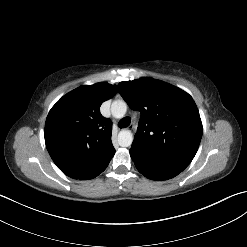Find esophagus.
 Wrapping results in <instances>:
<instances>
[{"mask_svg":"<svg viewBox=\"0 0 247 247\" xmlns=\"http://www.w3.org/2000/svg\"><path fill=\"white\" fill-rule=\"evenodd\" d=\"M134 128V124L131 123L129 126H128V129H133Z\"/></svg>","mask_w":247,"mask_h":247,"instance_id":"obj_1","label":"esophagus"}]
</instances>
